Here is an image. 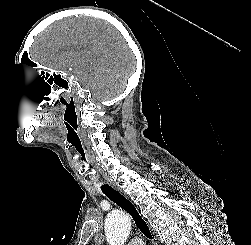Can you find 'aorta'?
<instances>
[{
  "label": "aorta",
  "instance_id": "obj_1",
  "mask_svg": "<svg viewBox=\"0 0 251 245\" xmlns=\"http://www.w3.org/2000/svg\"><path fill=\"white\" fill-rule=\"evenodd\" d=\"M131 230V220L122 211L108 214L105 222V235L110 245H124Z\"/></svg>",
  "mask_w": 251,
  "mask_h": 245
}]
</instances>
